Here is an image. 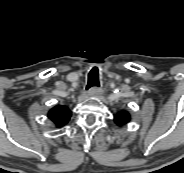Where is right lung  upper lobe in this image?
I'll return each mask as SVG.
<instances>
[{"instance_id":"right-lung-upper-lobe-1","label":"right lung upper lobe","mask_w":184,"mask_h":173,"mask_svg":"<svg viewBox=\"0 0 184 173\" xmlns=\"http://www.w3.org/2000/svg\"><path fill=\"white\" fill-rule=\"evenodd\" d=\"M48 117L56 127L60 128L70 120L71 111L66 106L57 105L49 111Z\"/></svg>"}]
</instances>
